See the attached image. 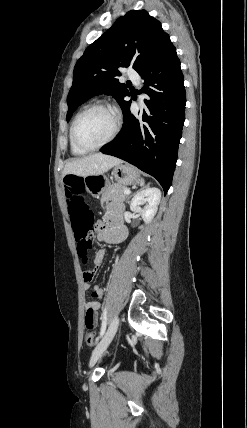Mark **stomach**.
Wrapping results in <instances>:
<instances>
[{
    "label": "stomach",
    "instance_id": "0dacf381",
    "mask_svg": "<svg viewBox=\"0 0 247 428\" xmlns=\"http://www.w3.org/2000/svg\"><path fill=\"white\" fill-rule=\"evenodd\" d=\"M112 176L121 185H132L139 183L140 174L138 170L129 164H118L113 168ZM86 190L93 197H99L109 186L108 178L103 175H90L82 177Z\"/></svg>",
    "mask_w": 247,
    "mask_h": 428
}]
</instances>
